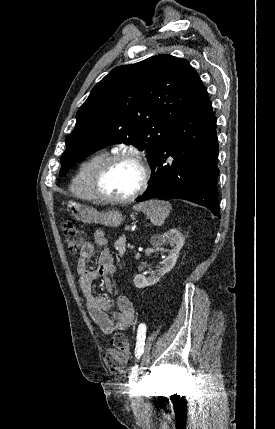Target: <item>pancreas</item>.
Returning a JSON list of instances; mask_svg holds the SVG:
<instances>
[{"label": "pancreas", "instance_id": "obj_1", "mask_svg": "<svg viewBox=\"0 0 275 429\" xmlns=\"http://www.w3.org/2000/svg\"><path fill=\"white\" fill-rule=\"evenodd\" d=\"M125 236L120 237L115 243V249L119 252V255L122 256L125 253Z\"/></svg>", "mask_w": 275, "mask_h": 429}]
</instances>
